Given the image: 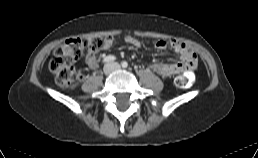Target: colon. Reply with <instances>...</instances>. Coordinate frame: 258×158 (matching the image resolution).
<instances>
[{"label": "colon", "mask_w": 258, "mask_h": 158, "mask_svg": "<svg viewBox=\"0 0 258 158\" xmlns=\"http://www.w3.org/2000/svg\"><path fill=\"white\" fill-rule=\"evenodd\" d=\"M106 47L105 38L74 37L64 40L54 52L49 68L59 85L73 88L81 78L74 63L82 55H94ZM193 81L192 72H186L177 79L179 87H188Z\"/></svg>", "instance_id": "5ec220e1"}]
</instances>
